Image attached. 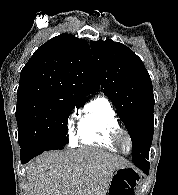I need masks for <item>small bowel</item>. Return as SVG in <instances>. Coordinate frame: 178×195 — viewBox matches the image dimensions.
<instances>
[{
    "label": "small bowel",
    "instance_id": "obj_1",
    "mask_svg": "<svg viewBox=\"0 0 178 195\" xmlns=\"http://www.w3.org/2000/svg\"><path fill=\"white\" fill-rule=\"evenodd\" d=\"M118 193H119L118 195H133V193L127 190L126 188H122V190H120V192Z\"/></svg>",
    "mask_w": 178,
    "mask_h": 195
}]
</instances>
